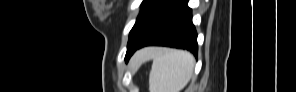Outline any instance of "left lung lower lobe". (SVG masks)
I'll use <instances>...</instances> for the list:
<instances>
[{
	"label": "left lung lower lobe",
	"mask_w": 296,
	"mask_h": 92,
	"mask_svg": "<svg viewBox=\"0 0 296 92\" xmlns=\"http://www.w3.org/2000/svg\"><path fill=\"white\" fill-rule=\"evenodd\" d=\"M148 45L190 50L197 55V33L187 0H170L147 35L126 53V61L139 48Z\"/></svg>",
	"instance_id": "0a47b994"
}]
</instances>
